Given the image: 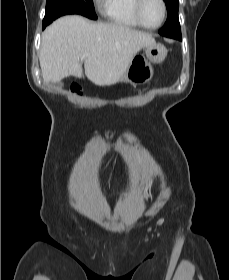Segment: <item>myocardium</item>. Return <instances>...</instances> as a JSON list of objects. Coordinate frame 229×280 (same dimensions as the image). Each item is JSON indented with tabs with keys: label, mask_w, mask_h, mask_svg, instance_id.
<instances>
[{
	"label": "myocardium",
	"mask_w": 229,
	"mask_h": 280,
	"mask_svg": "<svg viewBox=\"0 0 229 280\" xmlns=\"http://www.w3.org/2000/svg\"><path fill=\"white\" fill-rule=\"evenodd\" d=\"M158 1L162 7V18H161V21L157 25L150 26L145 23V21L143 20V17H142V9H143V6H144L146 0H135L134 9H133L134 16L141 27L149 29V30H155V29L161 27L162 24L164 23V21L166 19V15H167V6H166V3L164 0H158Z\"/></svg>",
	"instance_id": "myocardium-1"
}]
</instances>
